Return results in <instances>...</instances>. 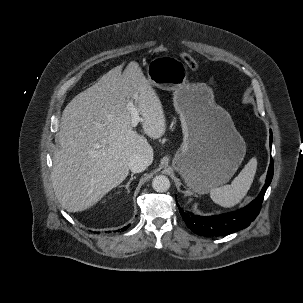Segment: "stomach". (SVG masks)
Masks as SVG:
<instances>
[{"label": "stomach", "instance_id": "obj_1", "mask_svg": "<svg viewBox=\"0 0 303 303\" xmlns=\"http://www.w3.org/2000/svg\"><path fill=\"white\" fill-rule=\"evenodd\" d=\"M147 76L151 85L173 91L183 132L173 167L186 185L205 194L227 183L245 157L246 143L230 114L215 103L212 89L189 83L186 66L171 56L152 59Z\"/></svg>", "mask_w": 303, "mask_h": 303}]
</instances>
